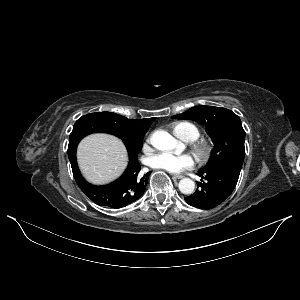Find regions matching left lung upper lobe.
<instances>
[{
  "label": "left lung upper lobe",
  "instance_id": "1",
  "mask_svg": "<svg viewBox=\"0 0 300 300\" xmlns=\"http://www.w3.org/2000/svg\"><path fill=\"white\" fill-rule=\"evenodd\" d=\"M190 119L206 127V132L214 142L208 164L200 171L230 164L241 168L245 156V131L240 118L232 111L214 106H195L182 114L173 116Z\"/></svg>",
  "mask_w": 300,
  "mask_h": 300
}]
</instances>
